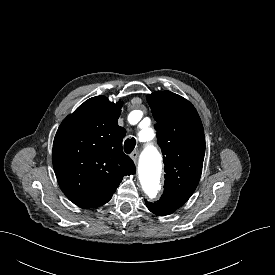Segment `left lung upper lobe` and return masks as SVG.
<instances>
[{
	"label": "left lung upper lobe",
	"mask_w": 275,
	"mask_h": 275,
	"mask_svg": "<svg viewBox=\"0 0 275 275\" xmlns=\"http://www.w3.org/2000/svg\"><path fill=\"white\" fill-rule=\"evenodd\" d=\"M147 100L164 155L166 174L161 197L189 198L199 183L205 155L200 117L188 100L170 91L148 94Z\"/></svg>",
	"instance_id": "1"
}]
</instances>
